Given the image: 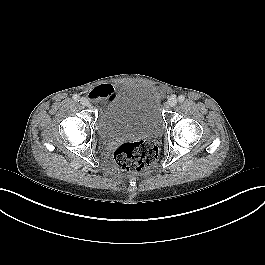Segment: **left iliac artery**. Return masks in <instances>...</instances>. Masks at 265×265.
Instances as JSON below:
<instances>
[{
  "mask_svg": "<svg viewBox=\"0 0 265 265\" xmlns=\"http://www.w3.org/2000/svg\"><path fill=\"white\" fill-rule=\"evenodd\" d=\"M185 100V97L183 95L178 96V101L181 103Z\"/></svg>",
  "mask_w": 265,
  "mask_h": 265,
  "instance_id": "1",
  "label": "left iliac artery"
}]
</instances>
